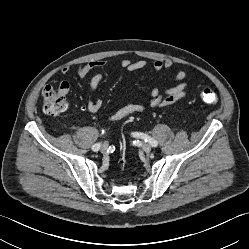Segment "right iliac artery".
I'll return each mask as SVG.
<instances>
[{"instance_id":"right-iliac-artery-1","label":"right iliac artery","mask_w":249,"mask_h":249,"mask_svg":"<svg viewBox=\"0 0 249 249\" xmlns=\"http://www.w3.org/2000/svg\"><path fill=\"white\" fill-rule=\"evenodd\" d=\"M100 149V143H96L92 146L93 151H98Z\"/></svg>"}]
</instances>
